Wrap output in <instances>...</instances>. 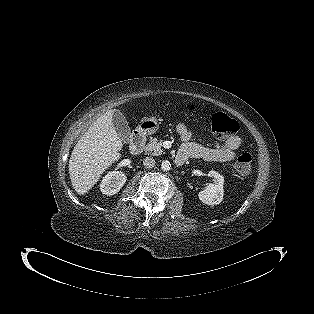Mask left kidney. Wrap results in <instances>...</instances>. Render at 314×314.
<instances>
[{
  "mask_svg": "<svg viewBox=\"0 0 314 314\" xmlns=\"http://www.w3.org/2000/svg\"><path fill=\"white\" fill-rule=\"evenodd\" d=\"M208 177L213 179V183L198 194L201 202L207 205H217L222 202L224 195V177L216 171H209Z\"/></svg>",
  "mask_w": 314,
  "mask_h": 314,
  "instance_id": "obj_1",
  "label": "left kidney"
}]
</instances>
